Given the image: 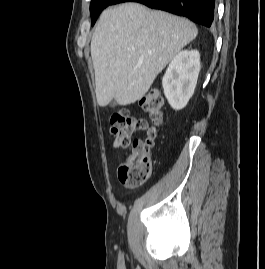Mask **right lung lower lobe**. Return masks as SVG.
<instances>
[{"mask_svg":"<svg viewBox=\"0 0 265 269\" xmlns=\"http://www.w3.org/2000/svg\"><path fill=\"white\" fill-rule=\"evenodd\" d=\"M122 2L142 3L153 9L188 17L206 27H210L214 20L215 0H114L111 5Z\"/></svg>","mask_w":265,"mask_h":269,"instance_id":"obj_1","label":"right lung lower lobe"}]
</instances>
